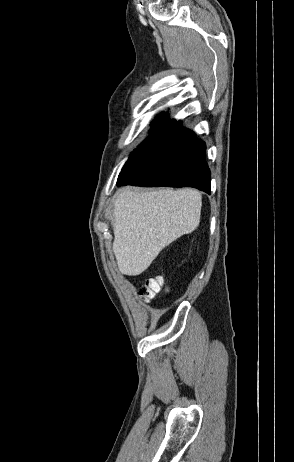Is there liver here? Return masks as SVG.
Wrapping results in <instances>:
<instances>
[{
	"label": "liver",
	"instance_id": "1",
	"mask_svg": "<svg viewBox=\"0 0 294 462\" xmlns=\"http://www.w3.org/2000/svg\"><path fill=\"white\" fill-rule=\"evenodd\" d=\"M201 194L193 189L136 192L122 189L116 198L112 226L113 252L120 272H144L170 243L199 225Z\"/></svg>",
	"mask_w": 294,
	"mask_h": 462
}]
</instances>
